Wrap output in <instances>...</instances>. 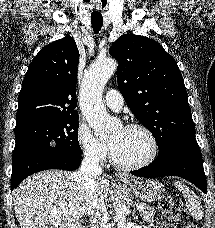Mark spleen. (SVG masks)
<instances>
[{
  "instance_id": "obj_1",
  "label": "spleen",
  "mask_w": 215,
  "mask_h": 228,
  "mask_svg": "<svg viewBox=\"0 0 215 228\" xmlns=\"http://www.w3.org/2000/svg\"><path fill=\"white\" fill-rule=\"evenodd\" d=\"M175 188H177V190H181L185 198L186 206H188L191 212L192 218H195V220H201L203 216V210L194 192H192L188 186H185V184H181V182H175Z\"/></svg>"
}]
</instances>
